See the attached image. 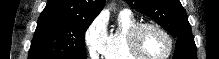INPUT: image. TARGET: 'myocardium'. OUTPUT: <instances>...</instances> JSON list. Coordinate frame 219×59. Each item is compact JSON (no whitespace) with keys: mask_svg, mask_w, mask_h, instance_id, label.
<instances>
[{"mask_svg":"<svg viewBox=\"0 0 219 59\" xmlns=\"http://www.w3.org/2000/svg\"><path fill=\"white\" fill-rule=\"evenodd\" d=\"M146 28H154L160 31L168 40L169 49L167 53L162 57H149L143 53L140 48V35ZM128 47L130 52L138 59H168L174 49V41L170 33L161 25L155 22H139L130 31L128 36Z\"/></svg>","mask_w":219,"mask_h":59,"instance_id":"obj_1","label":"myocardium"}]
</instances>
